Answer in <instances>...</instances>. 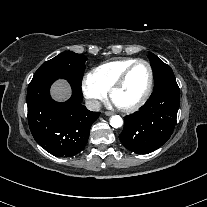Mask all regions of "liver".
I'll use <instances>...</instances> for the list:
<instances>
[{
    "instance_id": "liver-1",
    "label": "liver",
    "mask_w": 207,
    "mask_h": 207,
    "mask_svg": "<svg viewBox=\"0 0 207 207\" xmlns=\"http://www.w3.org/2000/svg\"><path fill=\"white\" fill-rule=\"evenodd\" d=\"M51 97L58 102H64L71 96V88L67 81L59 79L50 88Z\"/></svg>"
}]
</instances>
